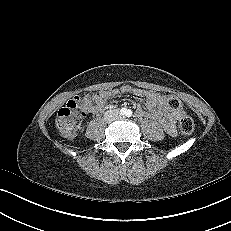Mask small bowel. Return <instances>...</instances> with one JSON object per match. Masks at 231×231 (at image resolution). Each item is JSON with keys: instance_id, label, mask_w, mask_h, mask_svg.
I'll use <instances>...</instances> for the list:
<instances>
[{"instance_id": "obj_1", "label": "small bowel", "mask_w": 231, "mask_h": 231, "mask_svg": "<svg viewBox=\"0 0 231 231\" xmlns=\"http://www.w3.org/2000/svg\"><path fill=\"white\" fill-rule=\"evenodd\" d=\"M119 94H134L145 100V107L137 105L136 114L141 118H149L161 123L165 132L171 136L176 135L177 120L184 114L183 111H174L167 106L166 96L144 90L131 85H123L112 90H102L95 95L78 97L79 105L85 113L96 114L106 109V102Z\"/></svg>"}]
</instances>
